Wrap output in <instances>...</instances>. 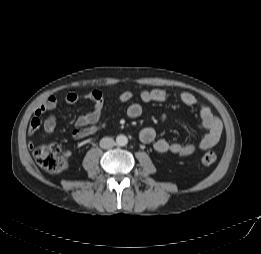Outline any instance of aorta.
I'll return each instance as SVG.
<instances>
[{
	"instance_id": "aorta-1",
	"label": "aorta",
	"mask_w": 261,
	"mask_h": 254,
	"mask_svg": "<svg viewBox=\"0 0 261 254\" xmlns=\"http://www.w3.org/2000/svg\"><path fill=\"white\" fill-rule=\"evenodd\" d=\"M128 143V138L125 135H118L116 137V144L119 146H125Z\"/></svg>"
}]
</instances>
